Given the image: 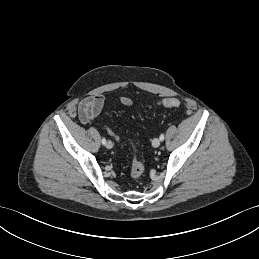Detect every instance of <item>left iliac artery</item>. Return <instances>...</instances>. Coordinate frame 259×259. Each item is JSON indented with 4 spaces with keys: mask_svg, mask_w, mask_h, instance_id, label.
<instances>
[{
    "mask_svg": "<svg viewBox=\"0 0 259 259\" xmlns=\"http://www.w3.org/2000/svg\"><path fill=\"white\" fill-rule=\"evenodd\" d=\"M159 138H160L161 141H163L164 140V134H161Z\"/></svg>",
    "mask_w": 259,
    "mask_h": 259,
    "instance_id": "obj_1",
    "label": "left iliac artery"
}]
</instances>
